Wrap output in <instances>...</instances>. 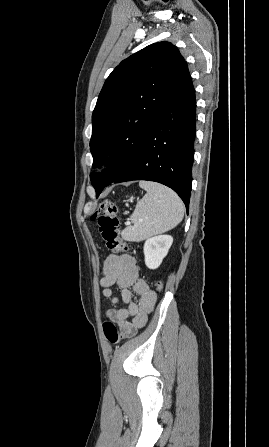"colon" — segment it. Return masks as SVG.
<instances>
[{"instance_id":"colon-1","label":"colon","mask_w":269,"mask_h":447,"mask_svg":"<svg viewBox=\"0 0 269 447\" xmlns=\"http://www.w3.org/2000/svg\"><path fill=\"white\" fill-rule=\"evenodd\" d=\"M91 220L98 226V231L102 241L113 252L125 254L129 252V247L119 240V220L117 218V207L111 201L99 203L91 215ZM163 288L162 281H156L154 290L158 295ZM103 332L111 343H119L126 338L125 334H120L117 326L111 322L103 324Z\"/></svg>"}]
</instances>
